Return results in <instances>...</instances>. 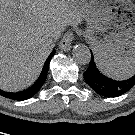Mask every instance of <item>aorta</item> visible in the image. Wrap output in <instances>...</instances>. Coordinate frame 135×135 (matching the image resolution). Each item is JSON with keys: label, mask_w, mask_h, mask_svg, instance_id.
Returning a JSON list of instances; mask_svg holds the SVG:
<instances>
[{"label": "aorta", "mask_w": 135, "mask_h": 135, "mask_svg": "<svg viewBox=\"0 0 135 135\" xmlns=\"http://www.w3.org/2000/svg\"><path fill=\"white\" fill-rule=\"evenodd\" d=\"M72 55L74 60L80 65H87L91 60L89 48L84 44H77L73 47Z\"/></svg>", "instance_id": "1"}]
</instances>
